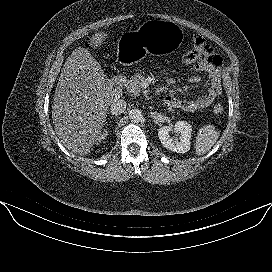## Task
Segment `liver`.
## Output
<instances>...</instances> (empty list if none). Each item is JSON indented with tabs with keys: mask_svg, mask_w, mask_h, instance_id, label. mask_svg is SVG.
<instances>
[{
	"mask_svg": "<svg viewBox=\"0 0 272 272\" xmlns=\"http://www.w3.org/2000/svg\"><path fill=\"white\" fill-rule=\"evenodd\" d=\"M106 37L107 33L97 32L90 45H101ZM121 95L122 89L107 78L86 48L72 51L63 65L52 104V120L60 142L81 156L90 153L109 107Z\"/></svg>",
	"mask_w": 272,
	"mask_h": 272,
	"instance_id": "6515ba94",
	"label": "liver"
}]
</instances>
